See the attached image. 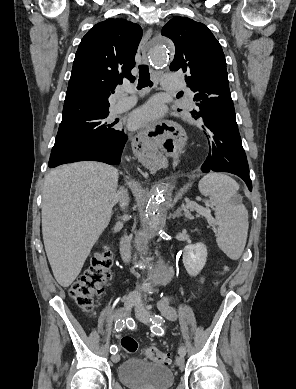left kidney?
Returning a JSON list of instances; mask_svg holds the SVG:
<instances>
[{
  "instance_id": "left-kidney-1",
  "label": "left kidney",
  "mask_w": 296,
  "mask_h": 389,
  "mask_svg": "<svg viewBox=\"0 0 296 389\" xmlns=\"http://www.w3.org/2000/svg\"><path fill=\"white\" fill-rule=\"evenodd\" d=\"M207 247L204 243L190 244L184 248L183 264L190 276H197L206 264Z\"/></svg>"
}]
</instances>
